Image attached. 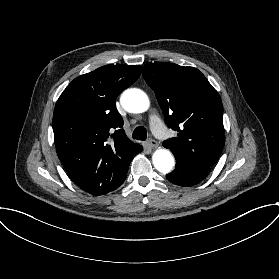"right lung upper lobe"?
I'll return each instance as SVG.
<instances>
[{
    "label": "right lung upper lobe",
    "mask_w": 279,
    "mask_h": 279,
    "mask_svg": "<svg viewBox=\"0 0 279 279\" xmlns=\"http://www.w3.org/2000/svg\"><path fill=\"white\" fill-rule=\"evenodd\" d=\"M140 74L139 65L100 67L75 78L56 103L53 131L58 157L72 181L92 195L118 188L131 160L142 151L121 129L123 119L115 105L116 97Z\"/></svg>",
    "instance_id": "right-lung-upper-lobe-1"
}]
</instances>
